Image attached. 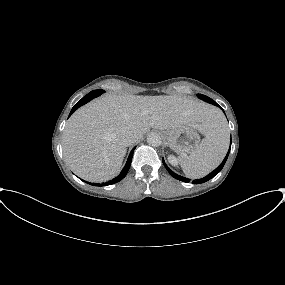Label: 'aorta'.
Wrapping results in <instances>:
<instances>
[{
    "instance_id": "762f6f07",
    "label": "aorta",
    "mask_w": 285,
    "mask_h": 285,
    "mask_svg": "<svg viewBox=\"0 0 285 285\" xmlns=\"http://www.w3.org/2000/svg\"><path fill=\"white\" fill-rule=\"evenodd\" d=\"M147 142L149 145H151L153 147H158L161 145L162 139H161L160 134L155 133V132H151L147 136Z\"/></svg>"
}]
</instances>
